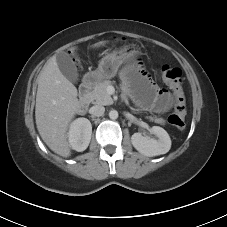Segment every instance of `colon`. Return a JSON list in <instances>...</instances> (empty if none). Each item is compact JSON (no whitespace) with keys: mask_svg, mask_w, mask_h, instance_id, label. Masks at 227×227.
Segmentation results:
<instances>
[{"mask_svg":"<svg viewBox=\"0 0 227 227\" xmlns=\"http://www.w3.org/2000/svg\"><path fill=\"white\" fill-rule=\"evenodd\" d=\"M162 78L170 87L174 95V111L168 117L170 125L177 129H182L185 126V97L182 87V72L179 68L164 65L161 70Z\"/></svg>","mask_w":227,"mask_h":227,"instance_id":"1","label":"colon"}]
</instances>
